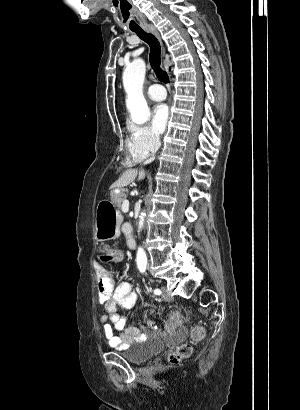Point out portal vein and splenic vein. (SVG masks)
Wrapping results in <instances>:
<instances>
[{
  "label": "portal vein and splenic vein",
  "instance_id": "18ae733b",
  "mask_svg": "<svg viewBox=\"0 0 300 410\" xmlns=\"http://www.w3.org/2000/svg\"><path fill=\"white\" fill-rule=\"evenodd\" d=\"M129 210V201L125 199L122 203V211L127 212Z\"/></svg>",
  "mask_w": 300,
  "mask_h": 410
}]
</instances>
